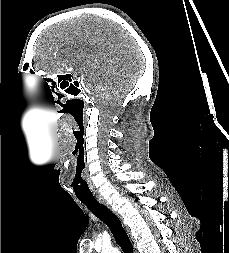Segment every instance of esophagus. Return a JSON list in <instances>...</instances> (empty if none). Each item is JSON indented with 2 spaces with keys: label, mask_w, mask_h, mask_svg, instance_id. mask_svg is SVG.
<instances>
[{
  "label": "esophagus",
  "mask_w": 229,
  "mask_h": 253,
  "mask_svg": "<svg viewBox=\"0 0 229 253\" xmlns=\"http://www.w3.org/2000/svg\"><path fill=\"white\" fill-rule=\"evenodd\" d=\"M97 201H99L101 204L105 205L108 209L112 210L111 205L106 201L102 196L97 195L96 196Z\"/></svg>",
  "instance_id": "obj_1"
}]
</instances>
